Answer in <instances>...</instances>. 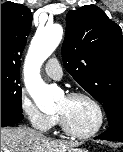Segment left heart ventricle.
<instances>
[{"mask_svg": "<svg viewBox=\"0 0 123 152\" xmlns=\"http://www.w3.org/2000/svg\"><path fill=\"white\" fill-rule=\"evenodd\" d=\"M57 113L62 114L69 126L77 132H88L98 122V113L95 107L83 98H62L58 104Z\"/></svg>", "mask_w": 123, "mask_h": 152, "instance_id": "1", "label": "left heart ventricle"}]
</instances>
